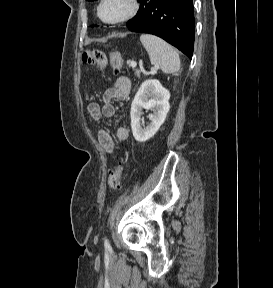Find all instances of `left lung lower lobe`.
I'll use <instances>...</instances> for the list:
<instances>
[{
	"label": "left lung lower lobe",
	"instance_id": "left-lung-lower-lobe-1",
	"mask_svg": "<svg viewBox=\"0 0 273 288\" xmlns=\"http://www.w3.org/2000/svg\"><path fill=\"white\" fill-rule=\"evenodd\" d=\"M137 15L126 26L161 37L190 59L194 47L193 0H138Z\"/></svg>",
	"mask_w": 273,
	"mask_h": 288
}]
</instances>
